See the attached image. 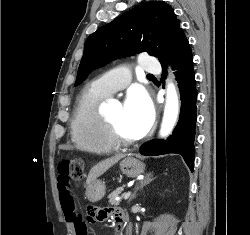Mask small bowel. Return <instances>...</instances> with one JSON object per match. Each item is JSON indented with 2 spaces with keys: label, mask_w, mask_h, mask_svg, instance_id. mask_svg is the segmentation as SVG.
I'll use <instances>...</instances> for the list:
<instances>
[{
  "label": "small bowel",
  "mask_w": 250,
  "mask_h": 235,
  "mask_svg": "<svg viewBox=\"0 0 250 235\" xmlns=\"http://www.w3.org/2000/svg\"><path fill=\"white\" fill-rule=\"evenodd\" d=\"M58 191H59V199H60V204H61L63 215L67 222H71L74 225L75 230H76V226H75L76 222L82 221V220L78 218L75 212L74 201L70 192V188L65 189V188L60 187L58 184ZM90 214L92 218L90 222H101V221H105L108 219H113L117 222L121 212L119 209L112 207V208H102V209L96 210L95 212L92 211L90 212ZM86 228H87V225H86Z\"/></svg>",
  "instance_id": "small-bowel-1"
}]
</instances>
